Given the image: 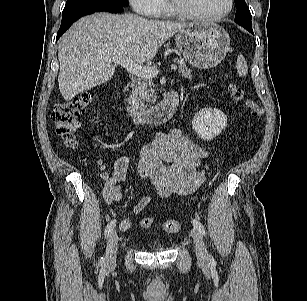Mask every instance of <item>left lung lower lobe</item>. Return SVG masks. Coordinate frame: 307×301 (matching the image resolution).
<instances>
[{
	"label": "left lung lower lobe",
	"mask_w": 307,
	"mask_h": 301,
	"mask_svg": "<svg viewBox=\"0 0 307 301\" xmlns=\"http://www.w3.org/2000/svg\"><path fill=\"white\" fill-rule=\"evenodd\" d=\"M246 30H248L250 33H252V34H254L253 33V30H252V28H250V27H247V28H245Z\"/></svg>",
	"instance_id": "0a47b994"
}]
</instances>
